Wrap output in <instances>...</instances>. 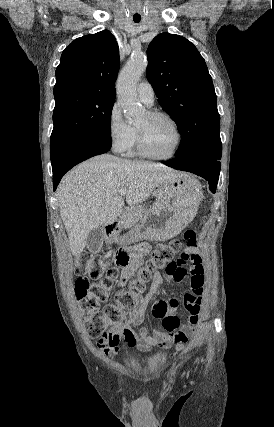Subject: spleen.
<instances>
[{
    "instance_id": "3e777b00",
    "label": "spleen",
    "mask_w": 274,
    "mask_h": 427,
    "mask_svg": "<svg viewBox=\"0 0 274 427\" xmlns=\"http://www.w3.org/2000/svg\"><path fill=\"white\" fill-rule=\"evenodd\" d=\"M192 186H193V188H200V184H199V182H197V180H194ZM200 190H201V188H200ZM196 196H198V200H201L202 192H199V194H196Z\"/></svg>"
}]
</instances>
